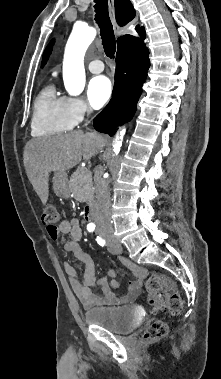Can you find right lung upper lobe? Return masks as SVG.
I'll return each instance as SVG.
<instances>
[{
    "mask_svg": "<svg viewBox=\"0 0 221 379\" xmlns=\"http://www.w3.org/2000/svg\"><path fill=\"white\" fill-rule=\"evenodd\" d=\"M115 15L118 24L123 26L134 18L135 10L129 0H115ZM141 29H143V27L136 28L137 31ZM126 36L127 35L120 37L118 41Z\"/></svg>",
    "mask_w": 221,
    "mask_h": 379,
    "instance_id": "1",
    "label": "right lung upper lobe"
}]
</instances>
